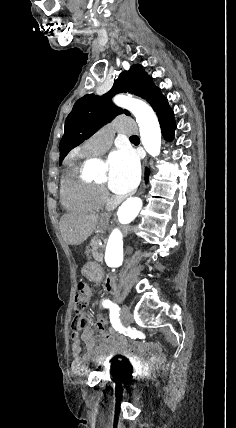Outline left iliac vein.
<instances>
[{
  "instance_id": "obj_1",
  "label": "left iliac vein",
  "mask_w": 236,
  "mask_h": 428,
  "mask_svg": "<svg viewBox=\"0 0 236 428\" xmlns=\"http://www.w3.org/2000/svg\"><path fill=\"white\" fill-rule=\"evenodd\" d=\"M121 315L122 317L120 319V322L124 324L125 328H128L131 322V319H130L131 314H130L129 307L126 306V304H123Z\"/></svg>"
}]
</instances>
